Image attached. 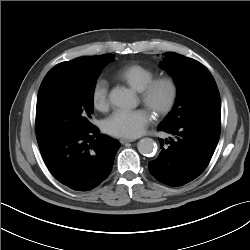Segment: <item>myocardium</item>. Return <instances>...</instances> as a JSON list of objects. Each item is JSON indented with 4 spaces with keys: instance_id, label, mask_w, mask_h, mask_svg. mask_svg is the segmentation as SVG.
I'll use <instances>...</instances> for the list:
<instances>
[{
    "instance_id": "1",
    "label": "myocardium",
    "mask_w": 250,
    "mask_h": 250,
    "mask_svg": "<svg viewBox=\"0 0 250 250\" xmlns=\"http://www.w3.org/2000/svg\"><path fill=\"white\" fill-rule=\"evenodd\" d=\"M160 88H166L168 95L166 101L162 105L153 109L157 117L166 116L174 109L180 93L178 82L169 76L156 77L150 80L139 91L142 103L147 107H151L153 97Z\"/></svg>"
}]
</instances>
